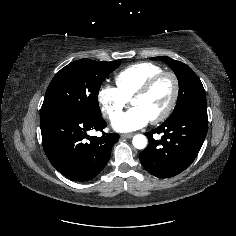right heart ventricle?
I'll use <instances>...</instances> for the list:
<instances>
[{
    "instance_id": "right-heart-ventricle-1",
    "label": "right heart ventricle",
    "mask_w": 236,
    "mask_h": 236,
    "mask_svg": "<svg viewBox=\"0 0 236 236\" xmlns=\"http://www.w3.org/2000/svg\"><path fill=\"white\" fill-rule=\"evenodd\" d=\"M161 66L153 63H137L131 65L115 76L117 89L128 100L150 78L162 72Z\"/></svg>"
}]
</instances>
